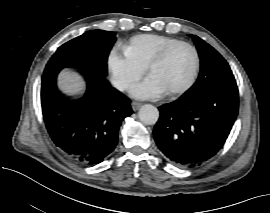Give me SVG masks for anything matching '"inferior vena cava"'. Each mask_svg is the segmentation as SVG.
Instances as JSON below:
<instances>
[{"instance_id":"602c4592","label":"inferior vena cava","mask_w":270,"mask_h":213,"mask_svg":"<svg viewBox=\"0 0 270 213\" xmlns=\"http://www.w3.org/2000/svg\"><path fill=\"white\" fill-rule=\"evenodd\" d=\"M114 86H115V88H117L118 90L124 91L125 89L128 88L129 84H128L127 82H125V81H116V82L114 83Z\"/></svg>"}]
</instances>
